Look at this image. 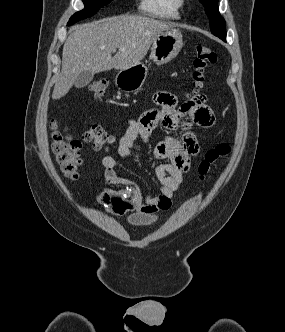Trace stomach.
I'll return each mask as SVG.
<instances>
[{
    "label": "stomach",
    "mask_w": 285,
    "mask_h": 332,
    "mask_svg": "<svg viewBox=\"0 0 285 332\" xmlns=\"http://www.w3.org/2000/svg\"><path fill=\"white\" fill-rule=\"evenodd\" d=\"M182 46L181 33L177 29L171 28L154 40L150 59L157 65L166 64L178 55ZM147 72V67L139 63L129 69L119 71L115 78V84L126 92L138 91L145 82Z\"/></svg>",
    "instance_id": "stomach-1"
}]
</instances>
